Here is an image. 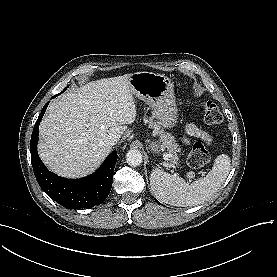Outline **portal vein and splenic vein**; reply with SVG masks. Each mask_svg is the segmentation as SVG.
I'll use <instances>...</instances> for the list:
<instances>
[{
    "label": "portal vein and splenic vein",
    "mask_w": 277,
    "mask_h": 277,
    "mask_svg": "<svg viewBox=\"0 0 277 277\" xmlns=\"http://www.w3.org/2000/svg\"><path fill=\"white\" fill-rule=\"evenodd\" d=\"M163 156H164V160H166V161H168L170 158V154H167V153H165Z\"/></svg>",
    "instance_id": "obj_1"
}]
</instances>
